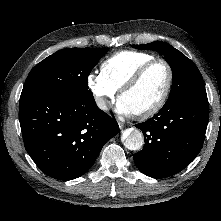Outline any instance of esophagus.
Here are the masks:
<instances>
[{"label": "esophagus", "instance_id": "1", "mask_svg": "<svg viewBox=\"0 0 221 221\" xmlns=\"http://www.w3.org/2000/svg\"><path fill=\"white\" fill-rule=\"evenodd\" d=\"M118 124H119V128H120L121 130H123L124 127H125V125H124L123 123H121V122H119Z\"/></svg>", "mask_w": 221, "mask_h": 221}]
</instances>
